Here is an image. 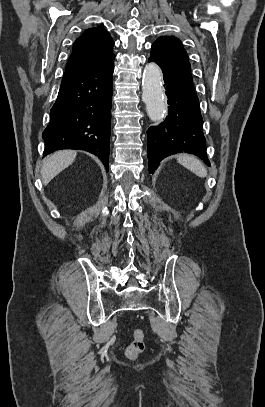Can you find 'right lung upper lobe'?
Instances as JSON below:
<instances>
[{
  "label": "right lung upper lobe",
  "mask_w": 265,
  "mask_h": 407,
  "mask_svg": "<svg viewBox=\"0 0 265 407\" xmlns=\"http://www.w3.org/2000/svg\"><path fill=\"white\" fill-rule=\"evenodd\" d=\"M114 41L102 26L93 27L77 38L63 78L75 75L113 54Z\"/></svg>",
  "instance_id": "right-lung-upper-lobe-1"
}]
</instances>
